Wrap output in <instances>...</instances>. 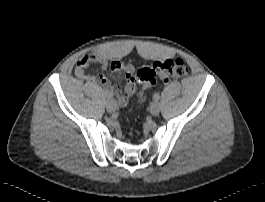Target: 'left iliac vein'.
I'll list each match as a JSON object with an SVG mask.
<instances>
[{
	"label": "left iliac vein",
	"instance_id": "obj_1",
	"mask_svg": "<svg viewBox=\"0 0 265 202\" xmlns=\"http://www.w3.org/2000/svg\"><path fill=\"white\" fill-rule=\"evenodd\" d=\"M150 112L152 115L157 116L160 112V106L157 101H154L150 105Z\"/></svg>",
	"mask_w": 265,
	"mask_h": 202
}]
</instances>
